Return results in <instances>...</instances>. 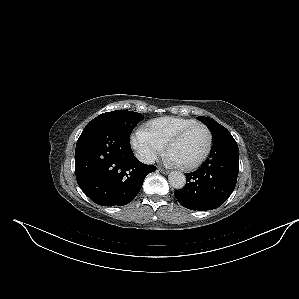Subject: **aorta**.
Returning a JSON list of instances; mask_svg holds the SVG:
<instances>
[{"label": "aorta", "mask_w": 299, "mask_h": 299, "mask_svg": "<svg viewBox=\"0 0 299 299\" xmlns=\"http://www.w3.org/2000/svg\"><path fill=\"white\" fill-rule=\"evenodd\" d=\"M168 180L175 189H182L186 184V176L180 171H171Z\"/></svg>", "instance_id": "aorta-1"}]
</instances>
